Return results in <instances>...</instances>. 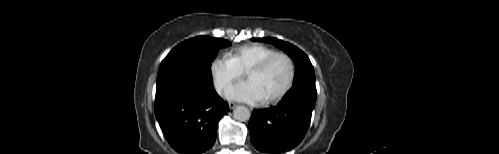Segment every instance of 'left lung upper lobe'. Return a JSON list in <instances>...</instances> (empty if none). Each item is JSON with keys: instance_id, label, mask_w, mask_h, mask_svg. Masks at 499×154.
Segmentation results:
<instances>
[{"instance_id": "5c2ea615", "label": "left lung upper lobe", "mask_w": 499, "mask_h": 154, "mask_svg": "<svg viewBox=\"0 0 499 154\" xmlns=\"http://www.w3.org/2000/svg\"><path fill=\"white\" fill-rule=\"evenodd\" d=\"M253 41L259 42H268L270 44L275 45L276 47L282 49L286 52L294 61L295 64V85H303L308 83L315 84V72L314 68L308 58V56L301 51L299 48L290 44L288 42L279 40L277 38H257L253 39Z\"/></svg>"}]
</instances>
